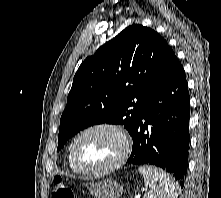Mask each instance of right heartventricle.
Returning <instances> with one entry per match:
<instances>
[{
    "instance_id": "right-heart-ventricle-1",
    "label": "right heart ventricle",
    "mask_w": 221,
    "mask_h": 198,
    "mask_svg": "<svg viewBox=\"0 0 221 198\" xmlns=\"http://www.w3.org/2000/svg\"><path fill=\"white\" fill-rule=\"evenodd\" d=\"M67 161H68V165H69L70 169L75 173H79V171L75 168V166L73 165V163L71 161L70 148H69L68 154H67Z\"/></svg>"
}]
</instances>
